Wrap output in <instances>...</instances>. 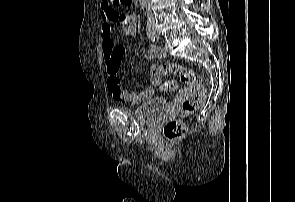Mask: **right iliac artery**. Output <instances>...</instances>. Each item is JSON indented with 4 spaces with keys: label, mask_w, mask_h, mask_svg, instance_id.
<instances>
[{
    "label": "right iliac artery",
    "mask_w": 295,
    "mask_h": 202,
    "mask_svg": "<svg viewBox=\"0 0 295 202\" xmlns=\"http://www.w3.org/2000/svg\"><path fill=\"white\" fill-rule=\"evenodd\" d=\"M146 32L149 40L154 42L156 40V35L149 24H147Z\"/></svg>",
    "instance_id": "right-iliac-artery-1"
}]
</instances>
